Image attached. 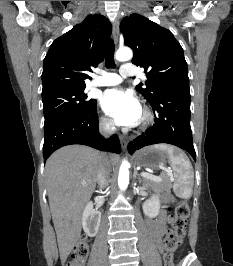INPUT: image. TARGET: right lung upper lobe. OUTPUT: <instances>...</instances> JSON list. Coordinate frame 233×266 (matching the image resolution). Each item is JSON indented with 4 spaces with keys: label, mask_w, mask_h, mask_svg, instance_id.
Listing matches in <instances>:
<instances>
[{
    "label": "right lung upper lobe",
    "mask_w": 233,
    "mask_h": 266,
    "mask_svg": "<svg viewBox=\"0 0 233 266\" xmlns=\"http://www.w3.org/2000/svg\"><path fill=\"white\" fill-rule=\"evenodd\" d=\"M112 27L102 15H89L50 46L44 59L42 94L62 89L84 88L85 73L104 59Z\"/></svg>",
    "instance_id": "right-lung-upper-lobe-1"
}]
</instances>
